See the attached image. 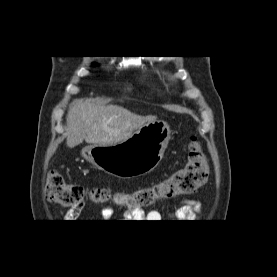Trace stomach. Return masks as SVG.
<instances>
[{
    "label": "stomach",
    "mask_w": 277,
    "mask_h": 277,
    "mask_svg": "<svg viewBox=\"0 0 277 277\" xmlns=\"http://www.w3.org/2000/svg\"><path fill=\"white\" fill-rule=\"evenodd\" d=\"M170 139V128L163 121L144 124L127 140L107 146L93 145L81 155L98 169L122 178L154 170L163 158Z\"/></svg>",
    "instance_id": "obj_1"
}]
</instances>
